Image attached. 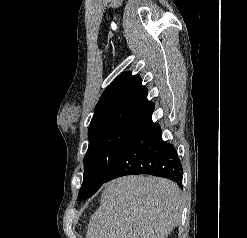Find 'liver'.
<instances>
[{"label": "liver", "instance_id": "6515ba94", "mask_svg": "<svg viewBox=\"0 0 247 238\" xmlns=\"http://www.w3.org/2000/svg\"><path fill=\"white\" fill-rule=\"evenodd\" d=\"M183 198L168 179L132 175L105 184L87 238H167L180 224Z\"/></svg>", "mask_w": 247, "mask_h": 238}]
</instances>
